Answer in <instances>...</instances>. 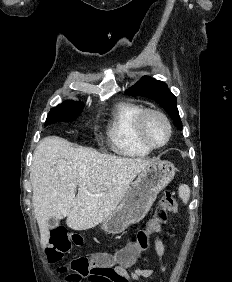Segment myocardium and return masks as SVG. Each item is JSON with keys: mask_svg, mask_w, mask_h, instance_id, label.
I'll return each mask as SVG.
<instances>
[{"mask_svg": "<svg viewBox=\"0 0 232 282\" xmlns=\"http://www.w3.org/2000/svg\"><path fill=\"white\" fill-rule=\"evenodd\" d=\"M150 116H157L163 120L167 127V138L165 141L161 144H154L151 141L148 140V138L145 135V123L148 117ZM135 135L137 140L146 148L152 150L160 149L165 147L171 140L172 137V125L169 120V118L164 114L162 111L153 109V108H146L143 109L139 115L137 116L135 120Z\"/></svg>", "mask_w": 232, "mask_h": 282, "instance_id": "myocardium-1", "label": "myocardium"}]
</instances>
